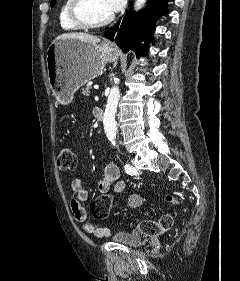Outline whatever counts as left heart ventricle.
I'll use <instances>...</instances> for the list:
<instances>
[{"label": "left heart ventricle", "instance_id": "left-heart-ventricle-1", "mask_svg": "<svg viewBox=\"0 0 240 281\" xmlns=\"http://www.w3.org/2000/svg\"><path fill=\"white\" fill-rule=\"evenodd\" d=\"M88 14L94 21L107 18L112 12L109 10L106 0H89Z\"/></svg>", "mask_w": 240, "mask_h": 281}]
</instances>
